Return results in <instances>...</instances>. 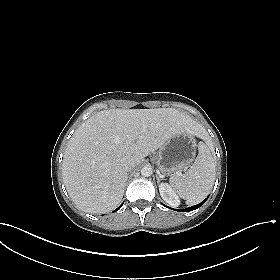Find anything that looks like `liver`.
<instances>
[{
	"label": "liver",
	"instance_id": "liver-1",
	"mask_svg": "<svg viewBox=\"0 0 280 280\" xmlns=\"http://www.w3.org/2000/svg\"><path fill=\"white\" fill-rule=\"evenodd\" d=\"M202 136L203 128L173 108L109 109L83 122L67 144L62 174L68 194L85 212L101 214L121 202L127 171L123 159L139 165L174 135Z\"/></svg>",
	"mask_w": 280,
	"mask_h": 280
}]
</instances>
